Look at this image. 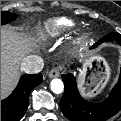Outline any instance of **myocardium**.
I'll list each match as a JSON object with an SVG mask.
<instances>
[{
	"instance_id": "obj_1",
	"label": "myocardium",
	"mask_w": 121,
	"mask_h": 121,
	"mask_svg": "<svg viewBox=\"0 0 121 121\" xmlns=\"http://www.w3.org/2000/svg\"><path fill=\"white\" fill-rule=\"evenodd\" d=\"M80 40H81L80 38H79V39H77V40L75 41V44H77Z\"/></svg>"
}]
</instances>
